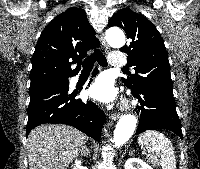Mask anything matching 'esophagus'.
Here are the masks:
<instances>
[{
  "instance_id": "obj_1",
  "label": "esophagus",
  "mask_w": 200,
  "mask_h": 169,
  "mask_svg": "<svg viewBox=\"0 0 200 169\" xmlns=\"http://www.w3.org/2000/svg\"><path fill=\"white\" fill-rule=\"evenodd\" d=\"M99 40H100V43H101V45H102L104 51H105L106 53H108V52H109V46L107 45V43H106V41H105V38H104V34H103V33L100 34ZM119 116H120L119 114L114 113V114H111V115H110V119L116 120V119L119 118Z\"/></svg>"
}]
</instances>
